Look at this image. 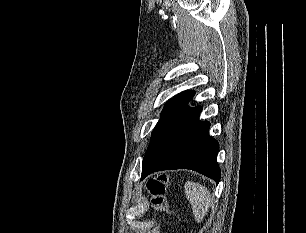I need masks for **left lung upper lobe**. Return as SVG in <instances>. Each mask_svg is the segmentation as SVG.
Returning <instances> with one entry per match:
<instances>
[{"instance_id":"left-lung-upper-lobe-1","label":"left lung upper lobe","mask_w":306,"mask_h":233,"mask_svg":"<svg viewBox=\"0 0 306 233\" xmlns=\"http://www.w3.org/2000/svg\"><path fill=\"white\" fill-rule=\"evenodd\" d=\"M195 92L192 90H187L181 92L180 94L169 100L162 113L161 118L158 121L152 136L148 149L145 153L143 161L148 157V155L155 148L159 140L178 122L180 121L188 112L193 108L189 107L187 103L193 98Z\"/></svg>"}]
</instances>
